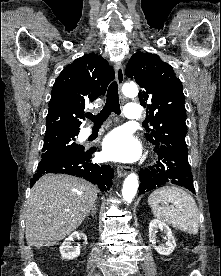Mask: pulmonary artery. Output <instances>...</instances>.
<instances>
[{
	"label": "pulmonary artery",
	"mask_w": 221,
	"mask_h": 276,
	"mask_svg": "<svg viewBox=\"0 0 221 276\" xmlns=\"http://www.w3.org/2000/svg\"><path fill=\"white\" fill-rule=\"evenodd\" d=\"M125 116L128 119L139 120L142 117L141 108L139 105L130 103L125 107ZM91 133V129L87 128L84 132L85 136H88Z\"/></svg>",
	"instance_id": "obj_1"
}]
</instances>
